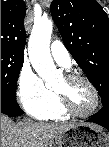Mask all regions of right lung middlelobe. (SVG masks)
<instances>
[{"label":"right lung middle lobe","mask_w":109,"mask_h":147,"mask_svg":"<svg viewBox=\"0 0 109 147\" xmlns=\"http://www.w3.org/2000/svg\"><path fill=\"white\" fill-rule=\"evenodd\" d=\"M23 56L1 49V93L16 101V85Z\"/></svg>","instance_id":"1"}]
</instances>
